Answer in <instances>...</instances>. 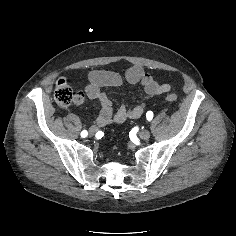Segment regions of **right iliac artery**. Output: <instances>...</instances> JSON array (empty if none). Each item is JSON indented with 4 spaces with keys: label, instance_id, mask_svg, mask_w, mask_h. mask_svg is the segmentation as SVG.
<instances>
[{
    "label": "right iliac artery",
    "instance_id": "right-iliac-artery-1",
    "mask_svg": "<svg viewBox=\"0 0 236 236\" xmlns=\"http://www.w3.org/2000/svg\"><path fill=\"white\" fill-rule=\"evenodd\" d=\"M88 135V132L86 131V130H83L82 132H81V137H86Z\"/></svg>",
    "mask_w": 236,
    "mask_h": 236
}]
</instances>
